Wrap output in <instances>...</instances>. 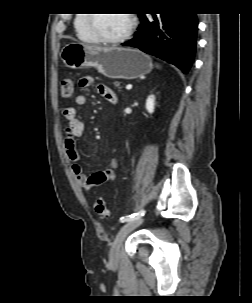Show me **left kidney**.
Here are the masks:
<instances>
[{"instance_id": "5707ae66", "label": "left kidney", "mask_w": 252, "mask_h": 303, "mask_svg": "<svg viewBox=\"0 0 252 303\" xmlns=\"http://www.w3.org/2000/svg\"><path fill=\"white\" fill-rule=\"evenodd\" d=\"M155 109V97L154 95H150L146 100V110L152 114Z\"/></svg>"}]
</instances>
